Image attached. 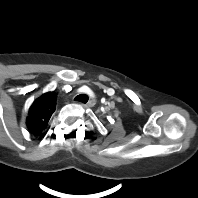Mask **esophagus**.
I'll return each mask as SVG.
<instances>
[{
  "mask_svg": "<svg viewBox=\"0 0 198 198\" xmlns=\"http://www.w3.org/2000/svg\"><path fill=\"white\" fill-rule=\"evenodd\" d=\"M96 104L95 100H90L86 104H82L84 107L90 108Z\"/></svg>",
  "mask_w": 198,
  "mask_h": 198,
  "instance_id": "obj_1",
  "label": "esophagus"
}]
</instances>
